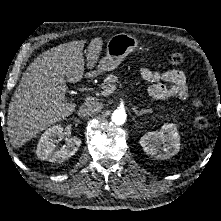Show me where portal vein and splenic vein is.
<instances>
[{
    "label": "portal vein and splenic vein",
    "mask_w": 221,
    "mask_h": 221,
    "mask_svg": "<svg viewBox=\"0 0 221 221\" xmlns=\"http://www.w3.org/2000/svg\"><path fill=\"white\" fill-rule=\"evenodd\" d=\"M115 89H116L115 85H111L110 88L106 90V93L110 94V93L114 92ZM101 94L104 96L103 92Z\"/></svg>",
    "instance_id": "portal-vein-and-splenic-vein-1"
}]
</instances>
